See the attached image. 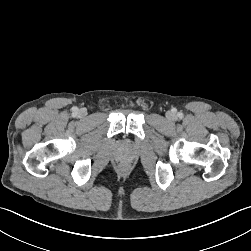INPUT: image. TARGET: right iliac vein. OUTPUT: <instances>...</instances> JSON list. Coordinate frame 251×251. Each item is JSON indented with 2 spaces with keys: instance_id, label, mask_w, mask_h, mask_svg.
Segmentation results:
<instances>
[{
  "instance_id": "right-iliac-vein-1",
  "label": "right iliac vein",
  "mask_w": 251,
  "mask_h": 251,
  "mask_svg": "<svg viewBox=\"0 0 251 251\" xmlns=\"http://www.w3.org/2000/svg\"><path fill=\"white\" fill-rule=\"evenodd\" d=\"M85 114H86V111H85V110H80V111H79V115H80V116H84Z\"/></svg>"
}]
</instances>
